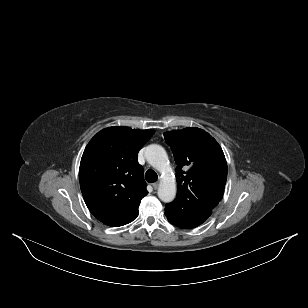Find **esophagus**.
Wrapping results in <instances>:
<instances>
[{"instance_id":"1","label":"esophagus","mask_w":308,"mask_h":308,"mask_svg":"<svg viewBox=\"0 0 308 308\" xmlns=\"http://www.w3.org/2000/svg\"><path fill=\"white\" fill-rule=\"evenodd\" d=\"M159 186V182H155L152 184V187L156 190Z\"/></svg>"}]
</instances>
